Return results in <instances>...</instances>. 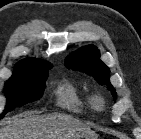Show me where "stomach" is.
Instances as JSON below:
<instances>
[{"mask_svg":"<svg viewBox=\"0 0 141 139\" xmlns=\"http://www.w3.org/2000/svg\"><path fill=\"white\" fill-rule=\"evenodd\" d=\"M76 139H98V137L93 132H89L79 135Z\"/></svg>","mask_w":141,"mask_h":139,"instance_id":"stomach-1","label":"stomach"}]
</instances>
